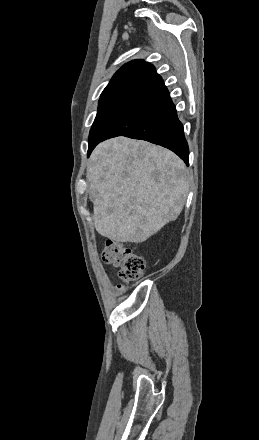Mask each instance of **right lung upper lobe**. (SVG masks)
<instances>
[{
  "label": "right lung upper lobe",
  "instance_id": "1",
  "mask_svg": "<svg viewBox=\"0 0 259 440\" xmlns=\"http://www.w3.org/2000/svg\"><path fill=\"white\" fill-rule=\"evenodd\" d=\"M161 80L152 64L143 60H133L115 73L101 96L127 92L147 93Z\"/></svg>",
  "mask_w": 259,
  "mask_h": 440
}]
</instances>
